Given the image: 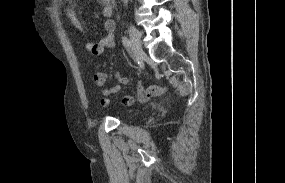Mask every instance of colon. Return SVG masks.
Segmentation results:
<instances>
[{"instance_id": "1", "label": "colon", "mask_w": 285, "mask_h": 183, "mask_svg": "<svg viewBox=\"0 0 285 183\" xmlns=\"http://www.w3.org/2000/svg\"><path fill=\"white\" fill-rule=\"evenodd\" d=\"M148 96L150 97V95H148ZM141 98L144 99L145 97L142 96ZM124 101H125L126 103H130V102H131V100H130L129 98H125Z\"/></svg>"}]
</instances>
